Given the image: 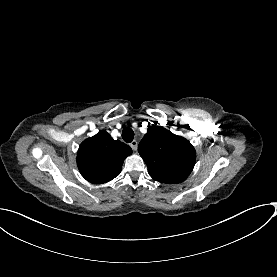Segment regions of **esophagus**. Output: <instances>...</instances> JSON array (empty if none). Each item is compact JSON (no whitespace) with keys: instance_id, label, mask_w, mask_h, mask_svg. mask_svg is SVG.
Masks as SVG:
<instances>
[{"instance_id":"34e87169","label":"esophagus","mask_w":277,"mask_h":277,"mask_svg":"<svg viewBox=\"0 0 277 277\" xmlns=\"http://www.w3.org/2000/svg\"><path fill=\"white\" fill-rule=\"evenodd\" d=\"M129 145L134 151L137 150L138 143L136 140H133Z\"/></svg>"}]
</instances>
